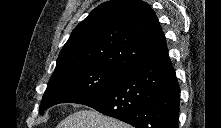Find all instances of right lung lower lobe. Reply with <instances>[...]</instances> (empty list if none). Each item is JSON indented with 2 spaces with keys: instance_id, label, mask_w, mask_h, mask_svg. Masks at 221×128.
Listing matches in <instances>:
<instances>
[{
  "instance_id": "right-lung-lower-lobe-1",
  "label": "right lung lower lobe",
  "mask_w": 221,
  "mask_h": 128,
  "mask_svg": "<svg viewBox=\"0 0 221 128\" xmlns=\"http://www.w3.org/2000/svg\"><path fill=\"white\" fill-rule=\"evenodd\" d=\"M180 88L167 52L138 64L77 103L136 128H178Z\"/></svg>"
}]
</instances>
